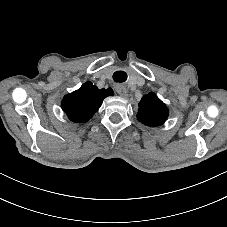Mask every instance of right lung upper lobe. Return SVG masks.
Segmentation results:
<instances>
[{
	"mask_svg": "<svg viewBox=\"0 0 227 227\" xmlns=\"http://www.w3.org/2000/svg\"><path fill=\"white\" fill-rule=\"evenodd\" d=\"M109 95H113L111 89H98L91 82H86L78 90L64 96L61 106L71 121L83 123L98 111L103 99Z\"/></svg>",
	"mask_w": 227,
	"mask_h": 227,
	"instance_id": "obj_1",
	"label": "right lung upper lobe"
}]
</instances>
